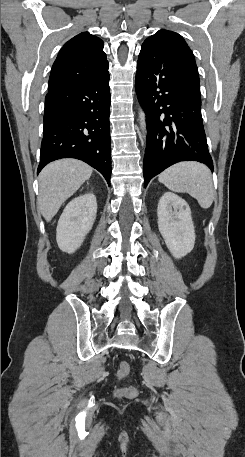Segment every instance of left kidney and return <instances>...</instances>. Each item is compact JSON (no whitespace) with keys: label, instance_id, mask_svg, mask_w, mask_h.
<instances>
[{"label":"left kidney","instance_id":"5707ae66","mask_svg":"<svg viewBox=\"0 0 245 457\" xmlns=\"http://www.w3.org/2000/svg\"><path fill=\"white\" fill-rule=\"evenodd\" d=\"M158 229L175 259L191 253L195 245V231L188 202L175 194L164 192L157 208Z\"/></svg>","mask_w":245,"mask_h":457}]
</instances>
